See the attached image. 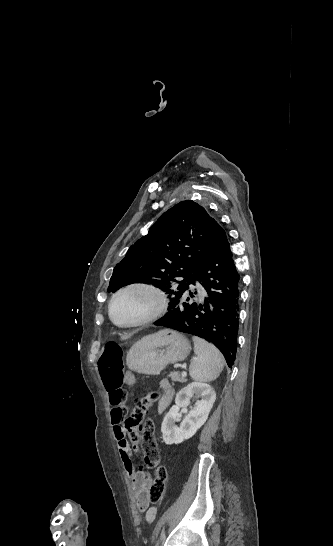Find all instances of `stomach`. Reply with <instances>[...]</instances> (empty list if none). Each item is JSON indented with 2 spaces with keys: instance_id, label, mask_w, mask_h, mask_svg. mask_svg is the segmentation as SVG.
I'll list each match as a JSON object with an SVG mask.
<instances>
[{
  "instance_id": "0dacf381",
  "label": "stomach",
  "mask_w": 333,
  "mask_h": 546,
  "mask_svg": "<svg viewBox=\"0 0 333 546\" xmlns=\"http://www.w3.org/2000/svg\"><path fill=\"white\" fill-rule=\"evenodd\" d=\"M190 349L183 334L164 329L138 340L127 353L126 364L132 371L159 375L167 365L184 360Z\"/></svg>"
}]
</instances>
